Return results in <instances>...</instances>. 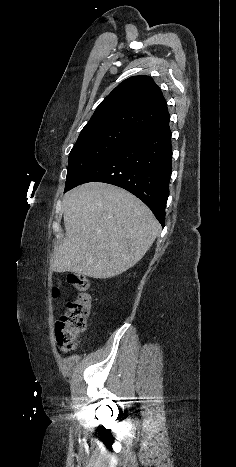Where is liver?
<instances>
[{
  "mask_svg": "<svg viewBox=\"0 0 236 467\" xmlns=\"http://www.w3.org/2000/svg\"><path fill=\"white\" fill-rule=\"evenodd\" d=\"M65 238L51 260L54 272L106 279L139 262L160 231L151 210L128 191L100 182L63 198Z\"/></svg>",
  "mask_w": 236,
  "mask_h": 467,
  "instance_id": "6515ba94",
  "label": "liver"
}]
</instances>
